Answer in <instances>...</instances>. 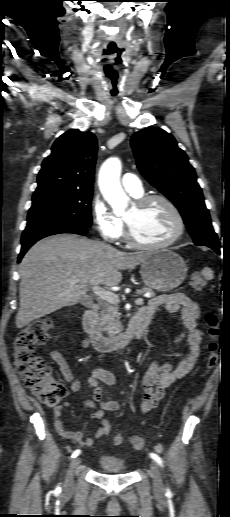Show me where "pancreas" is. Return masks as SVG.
<instances>
[{
  "mask_svg": "<svg viewBox=\"0 0 230 517\" xmlns=\"http://www.w3.org/2000/svg\"><path fill=\"white\" fill-rule=\"evenodd\" d=\"M136 292L139 295L149 293V297H155L156 295L155 292L148 287L138 289ZM100 306L101 311L97 316V327L101 331L106 332L108 336L113 337L120 333L122 328L120 317L117 312V306L108 302H101Z\"/></svg>",
  "mask_w": 230,
  "mask_h": 517,
  "instance_id": "cf45deb5",
  "label": "pancreas"
}]
</instances>
